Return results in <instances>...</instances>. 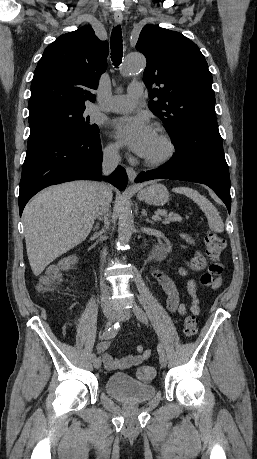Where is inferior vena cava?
Instances as JSON below:
<instances>
[{"label": "inferior vena cava", "mask_w": 257, "mask_h": 459, "mask_svg": "<svg viewBox=\"0 0 257 459\" xmlns=\"http://www.w3.org/2000/svg\"><path fill=\"white\" fill-rule=\"evenodd\" d=\"M120 162L119 151L117 148H106L103 152L102 172L110 174L115 170ZM98 189L96 194V216H103L105 228L109 227V203L110 188L105 183H97ZM106 251L102 252L101 258H105ZM101 286V303L103 306L110 305L112 301L109 298V291L103 280Z\"/></svg>", "instance_id": "obj_1"}]
</instances>
